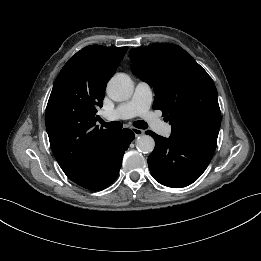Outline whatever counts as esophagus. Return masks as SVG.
<instances>
[{"mask_svg":"<svg viewBox=\"0 0 261 261\" xmlns=\"http://www.w3.org/2000/svg\"><path fill=\"white\" fill-rule=\"evenodd\" d=\"M132 131H133V133H134V135H135L136 137L141 136V135L144 134V130L139 129V128H133Z\"/></svg>","mask_w":261,"mask_h":261,"instance_id":"34e87169","label":"esophagus"}]
</instances>
